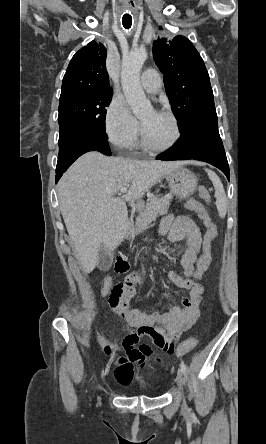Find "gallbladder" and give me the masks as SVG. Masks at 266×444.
Wrapping results in <instances>:
<instances>
[{"instance_id": "obj_1", "label": "gallbladder", "mask_w": 266, "mask_h": 444, "mask_svg": "<svg viewBox=\"0 0 266 444\" xmlns=\"http://www.w3.org/2000/svg\"><path fill=\"white\" fill-rule=\"evenodd\" d=\"M98 256H99L98 268L103 271H108L112 265L113 261L112 255L108 254L104 250L103 246H100Z\"/></svg>"}]
</instances>
